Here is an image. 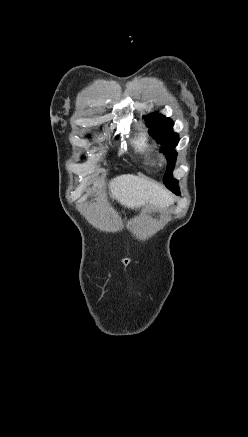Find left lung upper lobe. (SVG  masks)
Listing matches in <instances>:
<instances>
[{"label": "left lung upper lobe", "mask_w": 248, "mask_h": 437, "mask_svg": "<svg viewBox=\"0 0 248 437\" xmlns=\"http://www.w3.org/2000/svg\"><path fill=\"white\" fill-rule=\"evenodd\" d=\"M144 118L147 126L150 127V134L161 143L163 152L166 154L168 160L164 183L169 190L179 195L178 181L172 176V170L177 156L174 148L179 141L178 134L172 131L173 121L157 113L147 115Z\"/></svg>", "instance_id": "obj_1"}]
</instances>
